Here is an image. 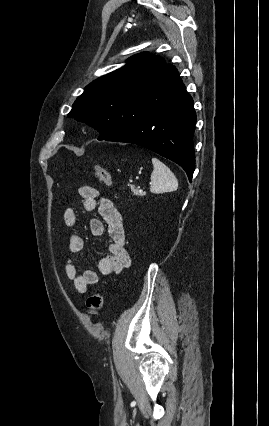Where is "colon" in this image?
<instances>
[{"mask_svg": "<svg viewBox=\"0 0 269 426\" xmlns=\"http://www.w3.org/2000/svg\"><path fill=\"white\" fill-rule=\"evenodd\" d=\"M94 174L97 177V179L101 181L103 184L107 186H111L113 184L112 177L105 167L101 165H95ZM103 302H104L103 293L96 292L90 295L86 301V306L88 311L92 314H97L99 310L101 309Z\"/></svg>", "mask_w": 269, "mask_h": 426, "instance_id": "colon-1", "label": "colon"}]
</instances>
